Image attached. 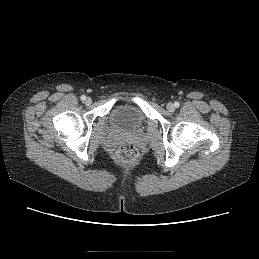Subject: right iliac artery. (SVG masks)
Listing matches in <instances>:
<instances>
[{
    "label": "right iliac artery",
    "mask_w": 259,
    "mask_h": 259,
    "mask_svg": "<svg viewBox=\"0 0 259 259\" xmlns=\"http://www.w3.org/2000/svg\"><path fill=\"white\" fill-rule=\"evenodd\" d=\"M86 99V96L85 95H82L81 96V100L84 101Z\"/></svg>",
    "instance_id": "82829eb1"
}]
</instances>
